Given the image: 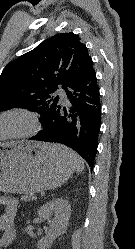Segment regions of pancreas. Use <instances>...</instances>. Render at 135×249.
<instances>
[{
    "label": "pancreas",
    "instance_id": "pancreas-1",
    "mask_svg": "<svg viewBox=\"0 0 135 249\" xmlns=\"http://www.w3.org/2000/svg\"><path fill=\"white\" fill-rule=\"evenodd\" d=\"M32 198V193H27L22 197V200L28 201Z\"/></svg>",
    "mask_w": 135,
    "mask_h": 249
}]
</instances>
